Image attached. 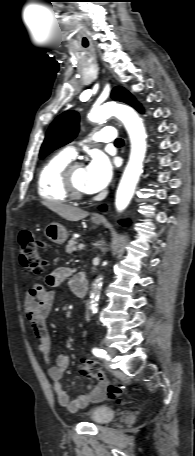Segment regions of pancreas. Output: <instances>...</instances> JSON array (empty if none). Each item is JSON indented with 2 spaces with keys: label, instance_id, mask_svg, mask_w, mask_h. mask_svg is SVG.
Wrapping results in <instances>:
<instances>
[{
  "label": "pancreas",
  "instance_id": "obj_1",
  "mask_svg": "<svg viewBox=\"0 0 195 456\" xmlns=\"http://www.w3.org/2000/svg\"><path fill=\"white\" fill-rule=\"evenodd\" d=\"M77 243H78V241L75 238H71L68 241V244L66 246V252L71 254V253L77 251V247H76Z\"/></svg>",
  "mask_w": 195,
  "mask_h": 456
}]
</instances>
